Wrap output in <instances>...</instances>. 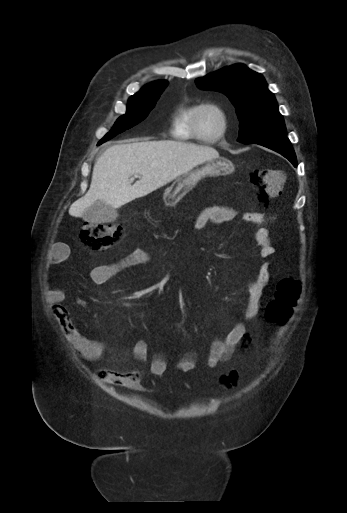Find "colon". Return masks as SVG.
Returning a JSON list of instances; mask_svg holds the SVG:
<instances>
[{"label":"colon","instance_id":"5ec220e1","mask_svg":"<svg viewBox=\"0 0 347 513\" xmlns=\"http://www.w3.org/2000/svg\"><path fill=\"white\" fill-rule=\"evenodd\" d=\"M250 181L258 191L261 202L278 196L283 186V173L275 169H260L250 173ZM122 236L120 224L85 222L80 227L79 237L83 243L97 250L108 249ZM302 293L301 282L293 277L282 278L276 285L273 299L266 308V318L276 325H284L291 318ZM237 380L235 372L221 378L222 383L232 384Z\"/></svg>","mask_w":347,"mask_h":513}]
</instances>
